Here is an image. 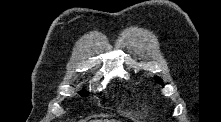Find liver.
I'll return each instance as SVG.
<instances>
[{"label":"liver","mask_w":221,"mask_h":122,"mask_svg":"<svg viewBox=\"0 0 221 122\" xmlns=\"http://www.w3.org/2000/svg\"><path fill=\"white\" fill-rule=\"evenodd\" d=\"M99 122H115L114 120H104V121H99Z\"/></svg>","instance_id":"1"}]
</instances>
